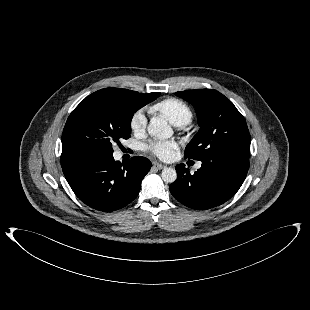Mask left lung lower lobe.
<instances>
[{
  "mask_svg": "<svg viewBox=\"0 0 310 310\" xmlns=\"http://www.w3.org/2000/svg\"><path fill=\"white\" fill-rule=\"evenodd\" d=\"M249 169L248 159L219 157L202 161L193 175L184 164L176 166L177 179L171 194L192 209L205 210L229 200L241 187Z\"/></svg>",
  "mask_w": 310,
  "mask_h": 310,
  "instance_id": "0a47b994",
  "label": "left lung lower lobe"
}]
</instances>
